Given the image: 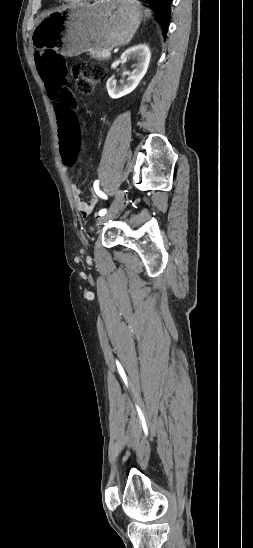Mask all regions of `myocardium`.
<instances>
[{"label": "myocardium", "mask_w": 253, "mask_h": 548, "mask_svg": "<svg viewBox=\"0 0 253 548\" xmlns=\"http://www.w3.org/2000/svg\"><path fill=\"white\" fill-rule=\"evenodd\" d=\"M65 2H72V3H78V2H83V1H91V0H63Z\"/></svg>", "instance_id": "f54148a6"}]
</instances>
